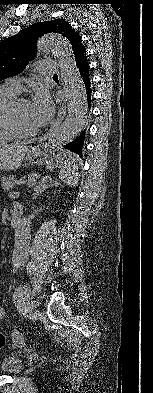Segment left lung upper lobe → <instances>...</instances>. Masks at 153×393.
I'll return each instance as SVG.
<instances>
[{
    "label": "left lung upper lobe",
    "mask_w": 153,
    "mask_h": 393,
    "mask_svg": "<svg viewBox=\"0 0 153 393\" xmlns=\"http://www.w3.org/2000/svg\"><path fill=\"white\" fill-rule=\"evenodd\" d=\"M60 33L73 48L75 59L85 50L80 35L65 20L35 23L0 42V81L20 73L35 56V42L44 33Z\"/></svg>",
    "instance_id": "1"
}]
</instances>
